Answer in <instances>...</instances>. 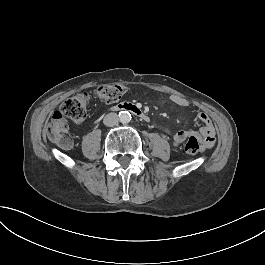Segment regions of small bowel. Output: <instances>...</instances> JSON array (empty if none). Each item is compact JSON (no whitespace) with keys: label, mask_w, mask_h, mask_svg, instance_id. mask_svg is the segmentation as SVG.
Segmentation results:
<instances>
[{"label":"small bowel","mask_w":265,"mask_h":265,"mask_svg":"<svg viewBox=\"0 0 265 265\" xmlns=\"http://www.w3.org/2000/svg\"><path fill=\"white\" fill-rule=\"evenodd\" d=\"M170 100L172 103H174L177 106L190 107V103L179 95H172L170 97ZM194 119L195 121L200 122L202 124L200 132H196L193 130L178 131L172 137L173 145L174 146L181 145L189 135L196 136L199 137L198 142L200 143L199 146L201 147L200 152L203 154L205 152L204 150L206 147L212 148L214 145L215 128L209 116L206 113H198Z\"/></svg>","instance_id":"c3829d8e"}]
</instances>
